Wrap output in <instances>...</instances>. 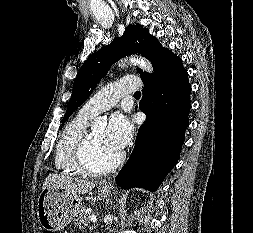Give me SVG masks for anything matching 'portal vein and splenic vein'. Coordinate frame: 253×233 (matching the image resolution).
<instances>
[{
    "mask_svg": "<svg viewBox=\"0 0 253 233\" xmlns=\"http://www.w3.org/2000/svg\"><path fill=\"white\" fill-rule=\"evenodd\" d=\"M89 220L91 221V222H97V218H96V216L95 215H90L89 216Z\"/></svg>",
    "mask_w": 253,
    "mask_h": 233,
    "instance_id": "18ae733b",
    "label": "portal vein and splenic vein"
}]
</instances>
